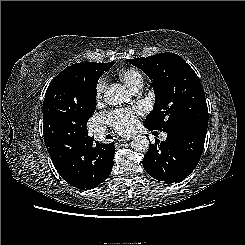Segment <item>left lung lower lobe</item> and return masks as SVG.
<instances>
[{
	"label": "left lung lower lobe",
	"mask_w": 245,
	"mask_h": 245,
	"mask_svg": "<svg viewBox=\"0 0 245 245\" xmlns=\"http://www.w3.org/2000/svg\"><path fill=\"white\" fill-rule=\"evenodd\" d=\"M206 131V125L195 124L168 133L165 141H156L149 146L143 160L144 169L153 178L167 184L184 180L201 158Z\"/></svg>",
	"instance_id": "obj_1"
}]
</instances>
